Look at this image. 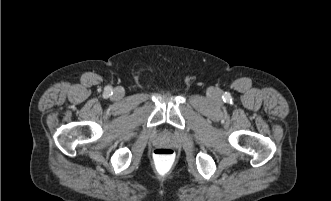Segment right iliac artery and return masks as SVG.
<instances>
[{"instance_id":"right-iliac-artery-1","label":"right iliac artery","mask_w":331,"mask_h":201,"mask_svg":"<svg viewBox=\"0 0 331 201\" xmlns=\"http://www.w3.org/2000/svg\"><path fill=\"white\" fill-rule=\"evenodd\" d=\"M106 94L110 96V95H112V91H111V90H108V91L106 92Z\"/></svg>"}]
</instances>
